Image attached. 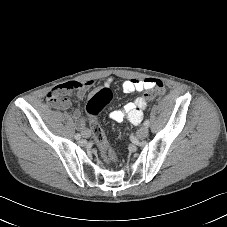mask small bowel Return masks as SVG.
<instances>
[{
    "label": "small bowel",
    "mask_w": 227,
    "mask_h": 227,
    "mask_svg": "<svg viewBox=\"0 0 227 227\" xmlns=\"http://www.w3.org/2000/svg\"><path fill=\"white\" fill-rule=\"evenodd\" d=\"M113 82L112 78H107L105 80V86H110ZM152 79H129L123 82L122 90L125 93L141 92L144 89H149L151 87ZM77 84V88H69L68 85ZM94 85L92 80L85 82H67L62 85L55 87L49 93V100L51 103L63 110L71 108L72 104L69 99L64 97V95L70 94L73 90H76V96L79 99H82L87 90H89ZM56 92L58 94L57 98L52 96V93ZM147 107V99L145 97H138L133 102H129L123 106V108L114 110L109 114V119L115 122H122L124 120L130 122L133 125H138L143 119V110ZM73 117L77 122L78 127L81 130V133L84 135L85 131L88 128L85 126V120L82 117L80 110L76 109L73 112ZM89 131V130H88Z\"/></svg>",
    "instance_id": "small-bowel-1"
}]
</instances>
